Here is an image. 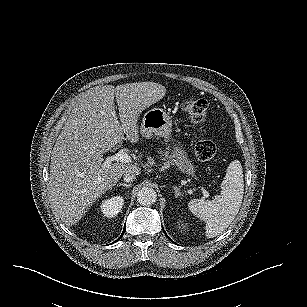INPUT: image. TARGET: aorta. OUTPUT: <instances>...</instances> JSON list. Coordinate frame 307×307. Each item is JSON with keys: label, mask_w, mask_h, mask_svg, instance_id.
<instances>
[{"label": "aorta", "mask_w": 307, "mask_h": 307, "mask_svg": "<svg viewBox=\"0 0 307 307\" xmlns=\"http://www.w3.org/2000/svg\"><path fill=\"white\" fill-rule=\"evenodd\" d=\"M157 200V193L151 187H144L138 191L137 201L144 206H150Z\"/></svg>", "instance_id": "obj_1"}]
</instances>
